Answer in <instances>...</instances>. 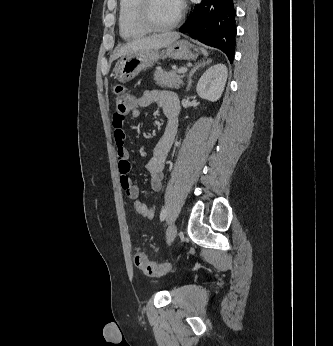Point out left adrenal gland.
<instances>
[{
    "instance_id": "left-adrenal-gland-1",
    "label": "left adrenal gland",
    "mask_w": 333,
    "mask_h": 346,
    "mask_svg": "<svg viewBox=\"0 0 333 346\" xmlns=\"http://www.w3.org/2000/svg\"><path fill=\"white\" fill-rule=\"evenodd\" d=\"M211 61H212L211 59H208L207 61L203 60V61L195 63V65L191 69V71L189 73V76H188V85H187L186 91L190 90V87H191V84H192V79L191 78H192L193 74L196 72V70L199 69V67H202V66L210 63Z\"/></svg>"
}]
</instances>
